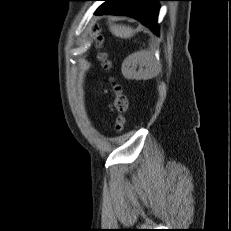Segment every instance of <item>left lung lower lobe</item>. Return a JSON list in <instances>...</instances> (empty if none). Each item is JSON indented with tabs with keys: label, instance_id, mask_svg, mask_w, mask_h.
I'll return each mask as SVG.
<instances>
[{
	"label": "left lung lower lobe",
	"instance_id": "left-lung-lower-lobe-1",
	"mask_svg": "<svg viewBox=\"0 0 231 231\" xmlns=\"http://www.w3.org/2000/svg\"><path fill=\"white\" fill-rule=\"evenodd\" d=\"M94 1V0H91ZM105 1L95 14L126 15L140 21L149 27L155 34H159L157 16L159 11L158 1L165 0H101Z\"/></svg>",
	"mask_w": 231,
	"mask_h": 231
}]
</instances>
